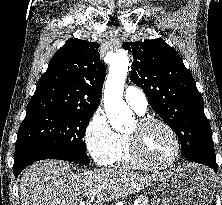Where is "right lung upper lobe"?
<instances>
[{"instance_id":"cb5924a9","label":"right lung upper lobe","mask_w":222,"mask_h":205,"mask_svg":"<svg viewBox=\"0 0 222 205\" xmlns=\"http://www.w3.org/2000/svg\"><path fill=\"white\" fill-rule=\"evenodd\" d=\"M98 47V43L69 39L40 78L26 114L50 110L95 111L105 79Z\"/></svg>"}]
</instances>
